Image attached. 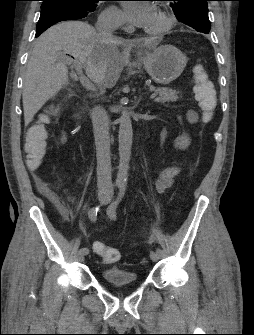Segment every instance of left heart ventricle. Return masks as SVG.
<instances>
[{
    "mask_svg": "<svg viewBox=\"0 0 254 335\" xmlns=\"http://www.w3.org/2000/svg\"><path fill=\"white\" fill-rule=\"evenodd\" d=\"M162 19L159 17V15L156 13L155 18L152 22V25L150 27L151 30L158 29L162 26Z\"/></svg>",
    "mask_w": 254,
    "mask_h": 335,
    "instance_id": "b2bd125f",
    "label": "left heart ventricle"
}]
</instances>
